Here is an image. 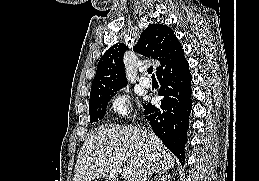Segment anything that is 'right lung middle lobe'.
<instances>
[{
  "label": "right lung middle lobe",
  "mask_w": 259,
  "mask_h": 181,
  "mask_svg": "<svg viewBox=\"0 0 259 181\" xmlns=\"http://www.w3.org/2000/svg\"><path fill=\"white\" fill-rule=\"evenodd\" d=\"M119 89L105 92L90 98L89 100V114L90 123L97 122L104 118L106 113V107L112 96L115 95Z\"/></svg>",
  "instance_id": "dd1d6c3e"
}]
</instances>
